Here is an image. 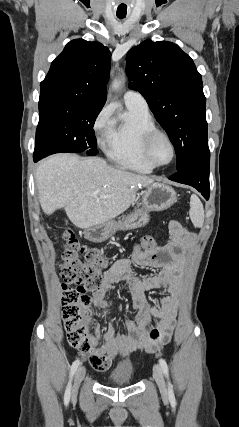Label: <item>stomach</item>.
Here are the masks:
<instances>
[{"label":"stomach","instance_id":"0dacf381","mask_svg":"<svg viewBox=\"0 0 239 427\" xmlns=\"http://www.w3.org/2000/svg\"><path fill=\"white\" fill-rule=\"evenodd\" d=\"M177 201L174 189L163 183L149 185L143 195L142 209L129 214L115 222L107 221L85 229V238L91 242H103L117 230H130L145 226L149 222V212L163 211L170 208Z\"/></svg>","mask_w":239,"mask_h":427}]
</instances>
